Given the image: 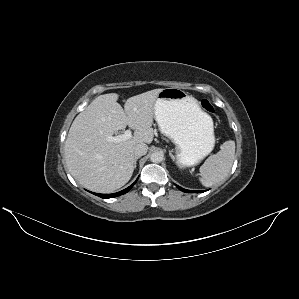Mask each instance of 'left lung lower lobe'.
<instances>
[{
    "label": "left lung lower lobe",
    "mask_w": 299,
    "mask_h": 299,
    "mask_svg": "<svg viewBox=\"0 0 299 299\" xmlns=\"http://www.w3.org/2000/svg\"><path fill=\"white\" fill-rule=\"evenodd\" d=\"M181 191L183 192H187V193H199V192H203V191H193V190H186V189H183L181 187H179L178 185H176Z\"/></svg>",
    "instance_id": "1"
}]
</instances>
